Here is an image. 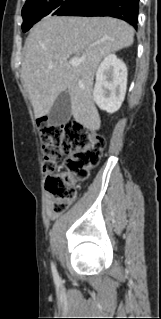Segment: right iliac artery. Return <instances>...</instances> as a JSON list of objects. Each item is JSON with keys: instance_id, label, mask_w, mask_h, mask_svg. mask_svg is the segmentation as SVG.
Listing matches in <instances>:
<instances>
[{"instance_id": "obj_1", "label": "right iliac artery", "mask_w": 161, "mask_h": 319, "mask_svg": "<svg viewBox=\"0 0 161 319\" xmlns=\"http://www.w3.org/2000/svg\"><path fill=\"white\" fill-rule=\"evenodd\" d=\"M51 269H52V275H53L54 281L56 283H59L60 277H59V275L57 273V270H56V267H55V265L53 263L51 264Z\"/></svg>"}]
</instances>
